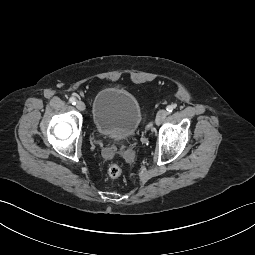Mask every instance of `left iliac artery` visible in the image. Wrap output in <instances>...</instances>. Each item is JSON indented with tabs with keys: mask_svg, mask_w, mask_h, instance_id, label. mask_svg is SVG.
Returning a JSON list of instances; mask_svg holds the SVG:
<instances>
[{
	"mask_svg": "<svg viewBox=\"0 0 255 255\" xmlns=\"http://www.w3.org/2000/svg\"><path fill=\"white\" fill-rule=\"evenodd\" d=\"M176 108V105L175 104H171V105H168L167 107H166V110L169 112V113H171V112H173V110Z\"/></svg>",
	"mask_w": 255,
	"mask_h": 255,
	"instance_id": "44dca946",
	"label": "left iliac artery"
}]
</instances>
